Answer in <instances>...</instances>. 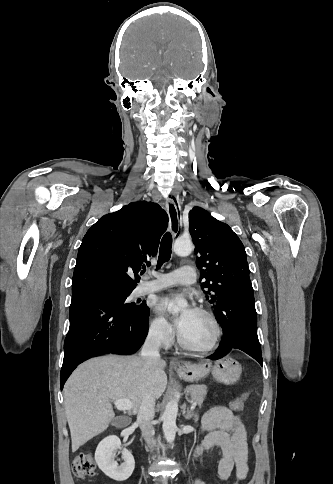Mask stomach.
Returning <instances> with one entry per match:
<instances>
[{"label":"stomach","mask_w":333,"mask_h":484,"mask_svg":"<svg viewBox=\"0 0 333 484\" xmlns=\"http://www.w3.org/2000/svg\"><path fill=\"white\" fill-rule=\"evenodd\" d=\"M175 370L180 378L188 382H198L211 374L216 381L225 385L236 383L242 373L239 362L230 356L214 362L205 361L198 364L186 362L175 367Z\"/></svg>","instance_id":"0dacf381"}]
</instances>
